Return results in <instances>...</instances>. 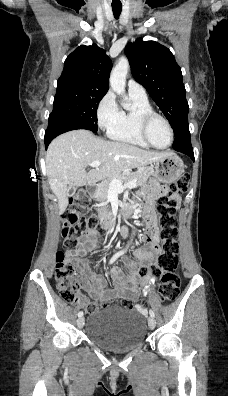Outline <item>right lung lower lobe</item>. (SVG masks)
<instances>
[{
    "label": "right lung lower lobe",
    "mask_w": 228,
    "mask_h": 396,
    "mask_svg": "<svg viewBox=\"0 0 228 396\" xmlns=\"http://www.w3.org/2000/svg\"><path fill=\"white\" fill-rule=\"evenodd\" d=\"M76 129H84V127L68 119L49 118V124L44 138L45 147L47 148L49 143L59 134Z\"/></svg>",
    "instance_id": "right-lung-lower-lobe-1"
}]
</instances>
